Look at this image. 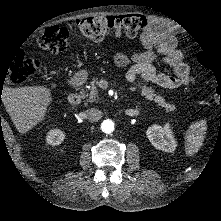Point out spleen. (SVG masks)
<instances>
[{
	"label": "spleen",
	"mask_w": 221,
	"mask_h": 221,
	"mask_svg": "<svg viewBox=\"0 0 221 221\" xmlns=\"http://www.w3.org/2000/svg\"><path fill=\"white\" fill-rule=\"evenodd\" d=\"M205 133V121L197 122L191 126V128L186 133L185 139V149L187 155H193L200 149L204 141Z\"/></svg>",
	"instance_id": "spleen-1"
}]
</instances>
